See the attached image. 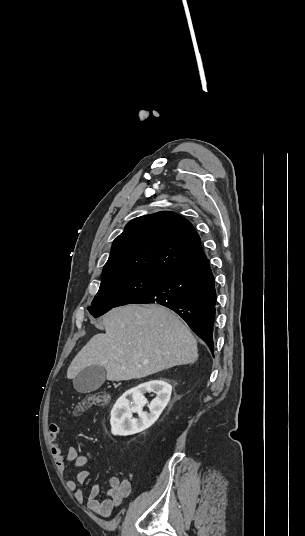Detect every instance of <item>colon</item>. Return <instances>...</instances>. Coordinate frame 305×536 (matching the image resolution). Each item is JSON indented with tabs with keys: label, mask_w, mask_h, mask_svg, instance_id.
I'll return each mask as SVG.
<instances>
[{
	"label": "colon",
	"mask_w": 305,
	"mask_h": 536,
	"mask_svg": "<svg viewBox=\"0 0 305 536\" xmlns=\"http://www.w3.org/2000/svg\"><path fill=\"white\" fill-rule=\"evenodd\" d=\"M109 396L104 391L94 392L87 394L81 401H79L74 407V416H81L87 410L94 406H101L108 402Z\"/></svg>",
	"instance_id": "obj_1"
}]
</instances>
